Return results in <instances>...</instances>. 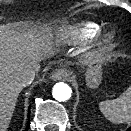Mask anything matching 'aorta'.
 Masks as SVG:
<instances>
[{
  "label": "aorta",
  "instance_id": "obj_1",
  "mask_svg": "<svg viewBox=\"0 0 131 131\" xmlns=\"http://www.w3.org/2000/svg\"><path fill=\"white\" fill-rule=\"evenodd\" d=\"M72 89L64 82L56 83L52 89L53 98L59 102H65L70 99Z\"/></svg>",
  "mask_w": 131,
  "mask_h": 131
}]
</instances>
